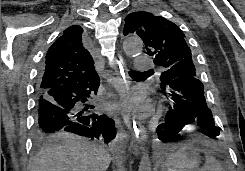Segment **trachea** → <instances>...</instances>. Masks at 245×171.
Segmentation results:
<instances>
[{
	"instance_id": "1",
	"label": "trachea",
	"mask_w": 245,
	"mask_h": 171,
	"mask_svg": "<svg viewBox=\"0 0 245 171\" xmlns=\"http://www.w3.org/2000/svg\"><path fill=\"white\" fill-rule=\"evenodd\" d=\"M142 72H136V71H130L129 74L130 76H135V75H139L141 74Z\"/></svg>"
}]
</instances>
